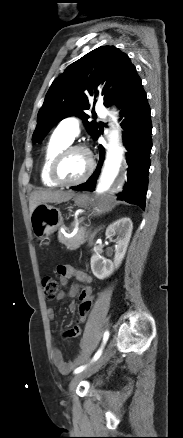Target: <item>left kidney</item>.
Returning a JSON list of instances; mask_svg holds the SVG:
<instances>
[{
	"instance_id": "obj_1",
	"label": "left kidney",
	"mask_w": 183,
	"mask_h": 438,
	"mask_svg": "<svg viewBox=\"0 0 183 438\" xmlns=\"http://www.w3.org/2000/svg\"><path fill=\"white\" fill-rule=\"evenodd\" d=\"M133 223L130 218L124 217L110 224L105 232L107 238L118 235L115 256L113 262L102 257L99 254H94L91 257V270L98 279L109 277L115 269L119 268L126 254L127 247L131 238Z\"/></svg>"
}]
</instances>
